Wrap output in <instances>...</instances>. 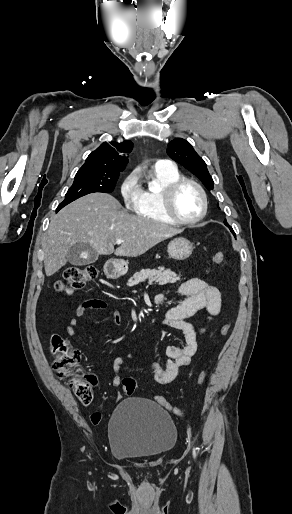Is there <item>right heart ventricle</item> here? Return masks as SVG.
Instances as JSON below:
<instances>
[{
    "mask_svg": "<svg viewBox=\"0 0 292 514\" xmlns=\"http://www.w3.org/2000/svg\"><path fill=\"white\" fill-rule=\"evenodd\" d=\"M154 177L161 183V188L180 179V175L178 172L167 173L159 172L158 170L155 171ZM159 191L160 190L153 191L150 188L143 189L142 200L139 206L135 209V213L149 220L168 224L170 223V221L163 213L159 203Z\"/></svg>",
    "mask_w": 292,
    "mask_h": 514,
    "instance_id": "1",
    "label": "right heart ventricle"
}]
</instances>
